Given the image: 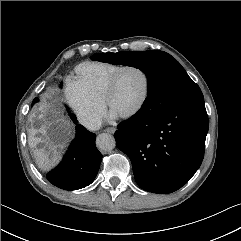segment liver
<instances>
[{"mask_svg": "<svg viewBox=\"0 0 241 241\" xmlns=\"http://www.w3.org/2000/svg\"><path fill=\"white\" fill-rule=\"evenodd\" d=\"M50 107L51 106L46 103L40 106L39 110L42 114L39 116V119L43 123L39 129L31 128L29 131V145L33 149L39 167L43 169H49L53 166L57 161V156L55 155L50 159L49 153L44 148H37V145L43 140L40 137H36V134L41 133L44 137H47L48 127L53 126L51 134L54 137V142L50 148L56 154L57 148H62L69 141L73 131V126L63 118L60 112L56 109H50ZM47 113L51 115L52 120L48 121L46 119Z\"/></svg>", "mask_w": 241, "mask_h": 241, "instance_id": "obj_1", "label": "liver"}]
</instances>
